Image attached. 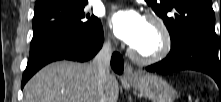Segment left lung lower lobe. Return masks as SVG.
I'll use <instances>...</instances> for the list:
<instances>
[{
	"label": "left lung lower lobe",
	"instance_id": "obj_1",
	"mask_svg": "<svg viewBox=\"0 0 221 102\" xmlns=\"http://www.w3.org/2000/svg\"><path fill=\"white\" fill-rule=\"evenodd\" d=\"M186 69L210 75L221 88V59L218 58V51L199 39H184L171 46V51L164 60L146 67L149 72H173Z\"/></svg>",
	"mask_w": 221,
	"mask_h": 102
}]
</instances>
